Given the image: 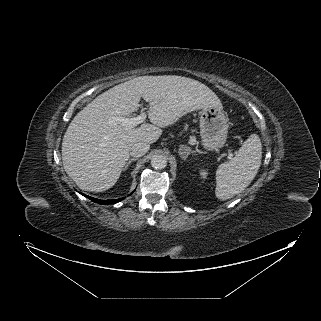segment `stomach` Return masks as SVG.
Wrapping results in <instances>:
<instances>
[{
  "label": "stomach",
  "mask_w": 321,
  "mask_h": 321,
  "mask_svg": "<svg viewBox=\"0 0 321 321\" xmlns=\"http://www.w3.org/2000/svg\"><path fill=\"white\" fill-rule=\"evenodd\" d=\"M227 132V117L222 108L208 107L200 111V135L206 149L214 150L223 147Z\"/></svg>",
  "instance_id": "stomach-1"
}]
</instances>
